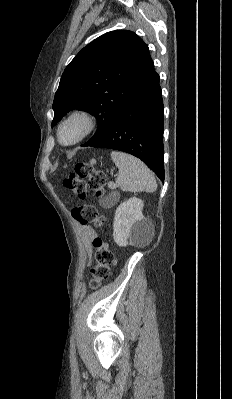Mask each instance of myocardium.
<instances>
[{"label":"myocardium","mask_w":232,"mask_h":399,"mask_svg":"<svg viewBox=\"0 0 232 399\" xmlns=\"http://www.w3.org/2000/svg\"><path fill=\"white\" fill-rule=\"evenodd\" d=\"M77 118L82 119L85 124L83 132L74 141L69 142V143L63 142L61 139L62 128L64 127L65 124H67L71 120L77 119ZM95 127H96V117H95L94 113L91 110L86 109V108H76V109L72 110L70 113H68L64 117V119L60 122V124L58 126L57 134H58L59 141L63 145L70 146V145L79 143L80 141L85 139L87 136H89L94 131Z\"/></svg>","instance_id":"myocardium-1"}]
</instances>
